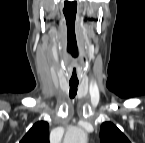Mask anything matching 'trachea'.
<instances>
[{"mask_svg": "<svg viewBox=\"0 0 145 143\" xmlns=\"http://www.w3.org/2000/svg\"><path fill=\"white\" fill-rule=\"evenodd\" d=\"M69 86H70V91H69V96L70 98H74L77 94V89H78V82H69Z\"/></svg>", "mask_w": 145, "mask_h": 143, "instance_id": "3493384b", "label": "trachea"}]
</instances>
